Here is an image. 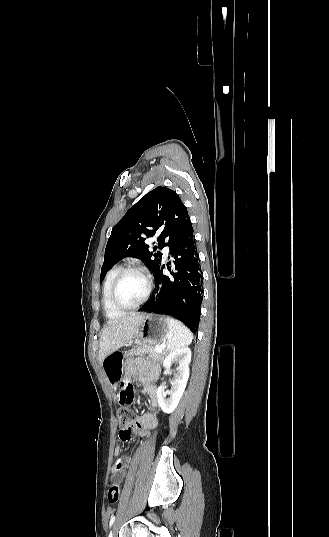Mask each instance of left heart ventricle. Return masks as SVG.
I'll list each match as a JSON object with an SVG mask.
<instances>
[{"mask_svg":"<svg viewBox=\"0 0 329 537\" xmlns=\"http://www.w3.org/2000/svg\"><path fill=\"white\" fill-rule=\"evenodd\" d=\"M146 291V280L138 272L127 273L121 280L117 297L121 304L131 306L136 304Z\"/></svg>","mask_w":329,"mask_h":537,"instance_id":"1","label":"left heart ventricle"}]
</instances>
